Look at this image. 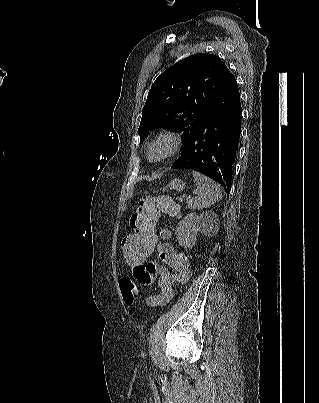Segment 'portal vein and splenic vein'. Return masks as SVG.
Returning a JSON list of instances; mask_svg holds the SVG:
<instances>
[{
    "mask_svg": "<svg viewBox=\"0 0 319 403\" xmlns=\"http://www.w3.org/2000/svg\"><path fill=\"white\" fill-rule=\"evenodd\" d=\"M185 196H183V197H180V198H178V200L179 201H183V198H184Z\"/></svg>",
    "mask_w": 319,
    "mask_h": 403,
    "instance_id": "obj_1",
    "label": "portal vein and splenic vein"
}]
</instances>
